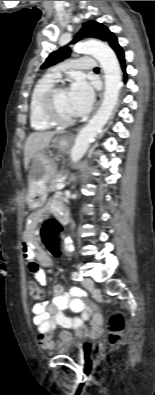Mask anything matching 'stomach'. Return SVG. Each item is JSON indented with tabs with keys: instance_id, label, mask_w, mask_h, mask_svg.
<instances>
[{
	"instance_id": "0dacf381",
	"label": "stomach",
	"mask_w": 155,
	"mask_h": 395,
	"mask_svg": "<svg viewBox=\"0 0 155 395\" xmlns=\"http://www.w3.org/2000/svg\"><path fill=\"white\" fill-rule=\"evenodd\" d=\"M53 142L61 150H65L69 145V140L66 136L57 137ZM56 169V163L43 152L36 153L31 159L27 193V203L31 209L40 208L45 203L47 183L55 176Z\"/></svg>"
}]
</instances>
